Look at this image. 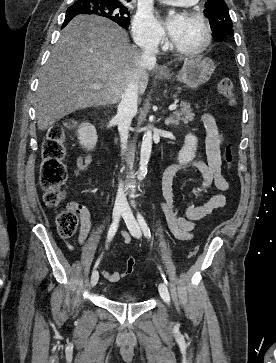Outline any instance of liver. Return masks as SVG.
Returning <instances> with one entry per match:
<instances>
[{
	"instance_id": "1",
	"label": "liver",
	"mask_w": 276,
	"mask_h": 363,
	"mask_svg": "<svg viewBox=\"0 0 276 363\" xmlns=\"http://www.w3.org/2000/svg\"><path fill=\"white\" fill-rule=\"evenodd\" d=\"M139 61V51L116 23L90 15L73 18L39 75L35 106L38 129L46 130L77 110L118 103L135 77L138 93L143 94L149 74L139 69ZM94 84L102 88H90Z\"/></svg>"
}]
</instances>
